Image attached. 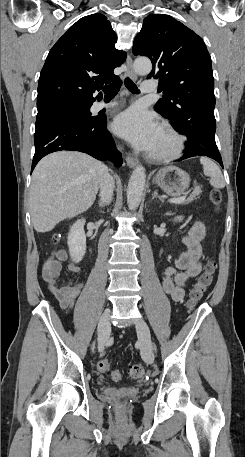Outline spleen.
<instances>
[{"label":"spleen","mask_w":245,"mask_h":457,"mask_svg":"<svg viewBox=\"0 0 245 457\" xmlns=\"http://www.w3.org/2000/svg\"><path fill=\"white\" fill-rule=\"evenodd\" d=\"M200 162L203 164L204 174L210 176V184L215 188H224V176L216 162H213L212 158H208V156H201Z\"/></svg>","instance_id":"1"}]
</instances>
